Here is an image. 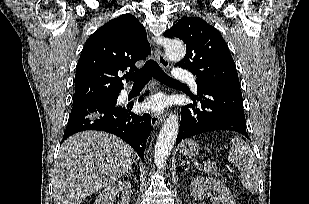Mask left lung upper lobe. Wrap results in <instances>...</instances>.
Wrapping results in <instances>:
<instances>
[{"instance_id":"5c2ea615","label":"left lung upper lobe","mask_w":309,"mask_h":204,"mask_svg":"<svg viewBox=\"0 0 309 204\" xmlns=\"http://www.w3.org/2000/svg\"><path fill=\"white\" fill-rule=\"evenodd\" d=\"M186 44V55L175 66L190 70L196 83L240 89L234 60L221 34L198 17H182L164 33Z\"/></svg>"}]
</instances>
